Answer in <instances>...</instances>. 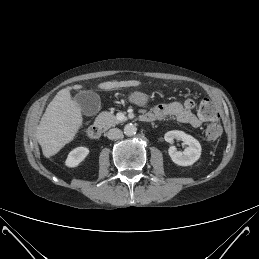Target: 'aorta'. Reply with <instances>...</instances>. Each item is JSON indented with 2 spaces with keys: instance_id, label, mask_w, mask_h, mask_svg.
I'll use <instances>...</instances> for the list:
<instances>
[{
  "instance_id": "aorta-1",
  "label": "aorta",
  "mask_w": 259,
  "mask_h": 259,
  "mask_svg": "<svg viewBox=\"0 0 259 259\" xmlns=\"http://www.w3.org/2000/svg\"><path fill=\"white\" fill-rule=\"evenodd\" d=\"M137 128L134 124L129 123L124 126V134L126 136H134L136 134Z\"/></svg>"
}]
</instances>
